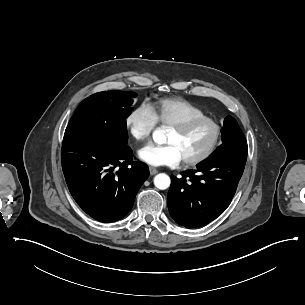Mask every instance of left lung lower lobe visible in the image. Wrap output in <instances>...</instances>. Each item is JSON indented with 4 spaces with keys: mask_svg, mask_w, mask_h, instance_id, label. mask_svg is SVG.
Returning <instances> with one entry per match:
<instances>
[{
    "mask_svg": "<svg viewBox=\"0 0 305 305\" xmlns=\"http://www.w3.org/2000/svg\"><path fill=\"white\" fill-rule=\"evenodd\" d=\"M246 159L247 153L212 155L181 178L172 176L167 204L175 222L198 228L216 219L231 203Z\"/></svg>",
    "mask_w": 305,
    "mask_h": 305,
    "instance_id": "1",
    "label": "left lung lower lobe"
}]
</instances>
